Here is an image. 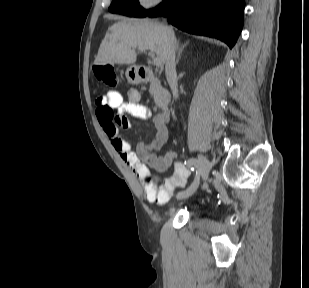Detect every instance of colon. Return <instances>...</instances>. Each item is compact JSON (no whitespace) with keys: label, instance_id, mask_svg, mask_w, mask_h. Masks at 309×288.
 Wrapping results in <instances>:
<instances>
[{"label":"colon","instance_id":"5ec220e1","mask_svg":"<svg viewBox=\"0 0 309 288\" xmlns=\"http://www.w3.org/2000/svg\"><path fill=\"white\" fill-rule=\"evenodd\" d=\"M95 74L98 82L101 84L107 86V87H116L118 84V75L115 71V69L108 65V64H98L95 66ZM103 111V109H102ZM112 113V110H110ZM113 115V113H112ZM113 120L117 125L123 126L127 123L128 119L125 115V113L120 112L113 116ZM144 181L146 185L150 186L153 185V179L152 176L147 175L144 178Z\"/></svg>","mask_w":309,"mask_h":288}]
</instances>
